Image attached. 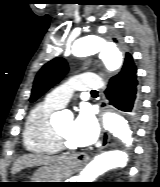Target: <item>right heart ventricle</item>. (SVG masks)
<instances>
[{
    "label": "right heart ventricle",
    "instance_id": "1",
    "mask_svg": "<svg viewBox=\"0 0 160 187\" xmlns=\"http://www.w3.org/2000/svg\"><path fill=\"white\" fill-rule=\"evenodd\" d=\"M58 107L46 100L36 105L29 113L23 131L24 148L38 155H57L61 152L51 113Z\"/></svg>",
    "mask_w": 160,
    "mask_h": 187
}]
</instances>
